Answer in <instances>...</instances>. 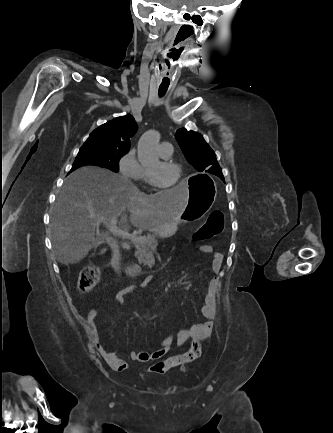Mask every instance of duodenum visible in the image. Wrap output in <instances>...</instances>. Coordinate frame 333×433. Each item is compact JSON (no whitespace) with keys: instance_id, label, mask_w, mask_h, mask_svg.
Returning a JSON list of instances; mask_svg holds the SVG:
<instances>
[{"instance_id":"duodenum-1","label":"duodenum","mask_w":333,"mask_h":433,"mask_svg":"<svg viewBox=\"0 0 333 433\" xmlns=\"http://www.w3.org/2000/svg\"><path fill=\"white\" fill-rule=\"evenodd\" d=\"M133 266L134 268L131 269L130 274L132 276H138L140 273V269L137 267L138 265L136 263Z\"/></svg>"}]
</instances>
